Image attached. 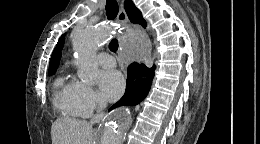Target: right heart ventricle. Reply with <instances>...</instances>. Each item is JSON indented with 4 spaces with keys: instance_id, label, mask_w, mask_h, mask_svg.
Returning <instances> with one entry per match:
<instances>
[{
    "instance_id": "obj_1",
    "label": "right heart ventricle",
    "mask_w": 260,
    "mask_h": 144,
    "mask_svg": "<svg viewBox=\"0 0 260 144\" xmlns=\"http://www.w3.org/2000/svg\"><path fill=\"white\" fill-rule=\"evenodd\" d=\"M54 89V106L61 114L71 118L83 116L76 104L74 82L58 77L54 83Z\"/></svg>"
}]
</instances>
